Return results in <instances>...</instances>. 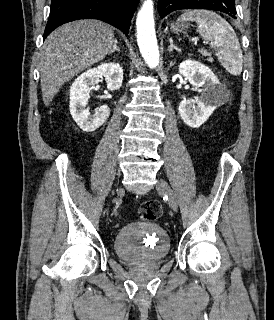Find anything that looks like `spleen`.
I'll list each match as a JSON object with an SVG mask.
<instances>
[{
  "label": "spleen",
  "mask_w": 274,
  "mask_h": 320,
  "mask_svg": "<svg viewBox=\"0 0 274 320\" xmlns=\"http://www.w3.org/2000/svg\"><path fill=\"white\" fill-rule=\"evenodd\" d=\"M180 20L183 22H196L197 32L203 40L211 42L215 48L221 66L232 74L240 76L243 68V54L238 38L230 24L209 10H185Z\"/></svg>",
  "instance_id": "3e777b00"
}]
</instances>
